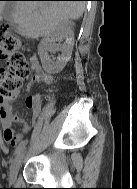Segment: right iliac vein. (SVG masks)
<instances>
[{
	"label": "right iliac vein",
	"instance_id": "right-iliac-vein-1",
	"mask_svg": "<svg viewBox=\"0 0 137 189\" xmlns=\"http://www.w3.org/2000/svg\"><path fill=\"white\" fill-rule=\"evenodd\" d=\"M23 156H24V152L17 154L12 162V165H11L10 171H9V181L11 183H14L17 178V174L20 169Z\"/></svg>",
	"mask_w": 137,
	"mask_h": 189
}]
</instances>
